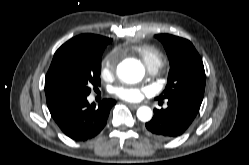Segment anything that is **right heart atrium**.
I'll return each instance as SVG.
<instances>
[{
  "instance_id": "1",
  "label": "right heart atrium",
  "mask_w": 249,
  "mask_h": 165,
  "mask_svg": "<svg viewBox=\"0 0 249 165\" xmlns=\"http://www.w3.org/2000/svg\"><path fill=\"white\" fill-rule=\"evenodd\" d=\"M117 57L118 53L116 51H112L104 58L101 65L102 75H106L113 70V68L115 67Z\"/></svg>"
}]
</instances>
